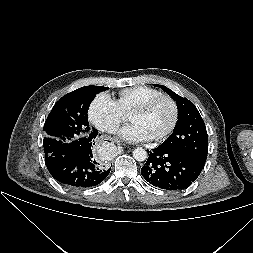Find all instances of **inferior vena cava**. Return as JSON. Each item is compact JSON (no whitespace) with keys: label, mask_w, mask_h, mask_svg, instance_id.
Returning <instances> with one entry per match:
<instances>
[{"label":"inferior vena cava","mask_w":253,"mask_h":253,"mask_svg":"<svg viewBox=\"0 0 253 253\" xmlns=\"http://www.w3.org/2000/svg\"><path fill=\"white\" fill-rule=\"evenodd\" d=\"M108 131L110 133H116L118 131V126H116V125L111 126V127H109Z\"/></svg>","instance_id":"602c4592"}]
</instances>
